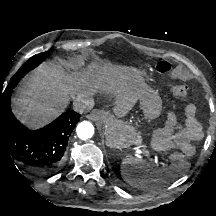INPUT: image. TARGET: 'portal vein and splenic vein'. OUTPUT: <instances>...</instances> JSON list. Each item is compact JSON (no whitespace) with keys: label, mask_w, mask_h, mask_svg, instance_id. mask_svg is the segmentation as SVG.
I'll return each instance as SVG.
<instances>
[{"label":"portal vein and splenic vein","mask_w":216,"mask_h":216,"mask_svg":"<svg viewBox=\"0 0 216 216\" xmlns=\"http://www.w3.org/2000/svg\"><path fill=\"white\" fill-rule=\"evenodd\" d=\"M135 149H136V152H137V153H139V154H144V155H146V156H149V152L146 151V150H144V149H142L140 146L135 147Z\"/></svg>","instance_id":"18ae733b"}]
</instances>
